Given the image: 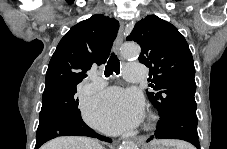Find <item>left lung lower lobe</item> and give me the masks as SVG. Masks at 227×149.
I'll return each instance as SVG.
<instances>
[{
    "mask_svg": "<svg viewBox=\"0 0 227 149\" xmlns=\"http://www.w3.org/2000/svg\"><path fill=\"white\" fill-rule=\"evenodd\" d=\"M160 117L155 133L150 136L147 142L153 139H180L190 142L198 149L200 148L196 115L176 111L160 115Z\"/></svg>",
    "mask_w": 227,
    "mask_h": 149,
    "instance_id": "left-lung-lower-lobe-1",
    "label": "left lung lower lobe"
}]
</instances>
